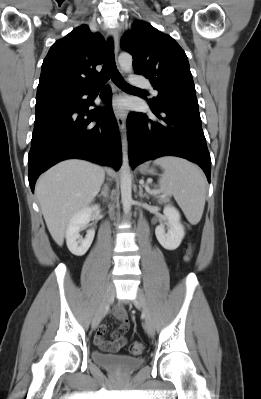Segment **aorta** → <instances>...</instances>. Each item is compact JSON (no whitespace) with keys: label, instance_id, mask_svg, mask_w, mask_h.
<instances>
[{"label":"aorta","instance_id":"aorta-1","mask_svg":"<svg viewBox=\"0 0 261 399\" xmlns=\"http://www.w3.org/2000/svg\"><path fill=\"white\" fill-rule=\"evenodd\" d=\"M121 69L128 72L132 69L133 58L129 53H121L118 57ZM121 202L125 213H129L132 205V178L130 173L128 142L122 140V166H121Z\"/></svg>","mask_w":261,"mask_h":399}]
</instances>
